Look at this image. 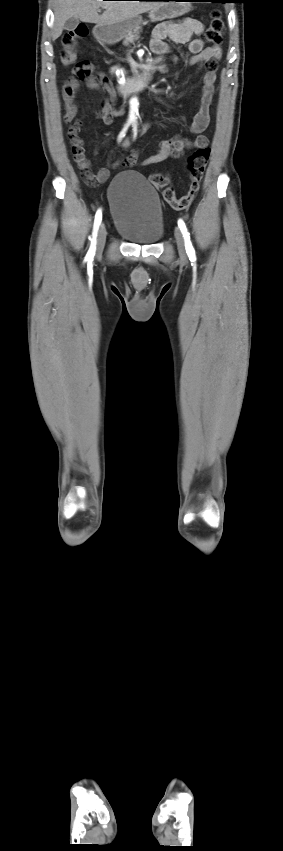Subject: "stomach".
Here are the masks:
<instances>
[{
  "label": "stomach",
  "instance_id": "0dacf381",
  "mask_svg": "<svg viewBox=\"0 0 283 851\" xmlns=\"http://www.w3.org/2000/svg\"><path fill=\"white\" fill-rule=\"evenodd\" d=\"M181 1L184 0H169L161 3L160 6L150 10L149 18L152 21H162L186 14L191 5L188 2ZM141 23L142 18L136 16L114 24H97L93 29V34L98 40L112 44L119 42L132 31L138 29Z\"/></svg>",
  "mask_w": 283,
  "mask_h": 851
}]
</instances>
